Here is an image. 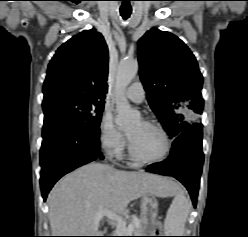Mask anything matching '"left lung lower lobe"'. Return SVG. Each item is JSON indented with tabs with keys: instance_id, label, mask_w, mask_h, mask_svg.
<instances>
[{
	"instance_id": "1",
	"label": "left lung lower lobe",
	"mask_w": 248,
	"mask_h": 237,
	"mask_svg": "<svg viewBox=\"0 0 248 237\" xmlns=\"http://www.w3.org/2000/svg\"><path fill=\"white\" fill-rule=\"evenodd\" d=\"M203 160L202 127L194 126L175 138L167 160L149 165L146 171L179 180L188 189L196 207Z\"/></svg>"
}]
</instances>
